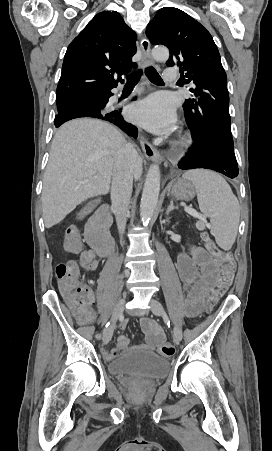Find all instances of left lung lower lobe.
<instances>
[{
  "mask_svg": "<svg viewBox=\"0 0 272 451\" xmlns=\"http://www.w3.org/2000/svg\"><path fill=\"white\" fill-rule=\"evenodd\" d=\"M188 158L178 163L180 169L205 168L212 169L234 178L238 175V165L234 148L218 137H207L197 140L187 152Z\"/></svg>",
  "mask_w": 272,
  "mask_h": 451,
  "instance_id": "obj_1",
  "label": "left lung lower lobe"
}]
</instances>
